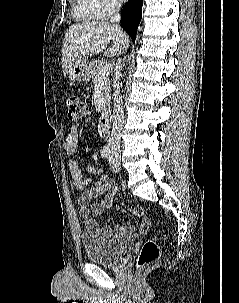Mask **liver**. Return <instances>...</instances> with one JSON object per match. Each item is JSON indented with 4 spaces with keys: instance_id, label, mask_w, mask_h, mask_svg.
<instances>
[{
    "instance_id": "liver-1",
    "label": "liver",
    "mask_w": 239,
    "mask_h": 303,
    "mask_svg": "<svg viewBox=\"0 0 239 303\" xmlns=\"http://www.w3.org/2000/svg\"><path fill=\"white\" fill-rule=\"evenodd\" d=\"M112 41L113 43L106 48ZM129 46V38L120 28L105 21H86L69 27L62 47V69L67 73L68 66L88 56L105 51V55L113 57L123 53Z\"/></svg>"
}]
</instances>
